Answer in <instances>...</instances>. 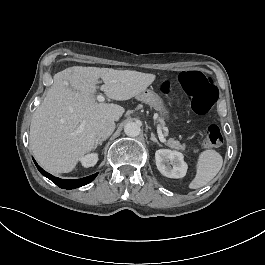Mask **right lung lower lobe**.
<instances>
[{"label":"right lung lower lobe","instance_id":"obj_1","mask_svg":"<svg viewBox=\"0 0 265 265\" xmlns=\"http://www.w3.org/2000/svg\"><path fill=\"white\" fill-rule=\"evenodd\" d=\"M35 164H36L38 170L41 172L42 175H44L45 177H47L48 179L53 181L57 186H59L60 188H63V189H74V188L86 185V184L90 183L91 181H93L95 179V177L97 176V174H93L91 176L81 178V179L63 180V179L54 177L51 174L47 173L40 166H38L36 162H35Z\"/></svg>","mask_w":265,"mask_h":265}]
</instances>
